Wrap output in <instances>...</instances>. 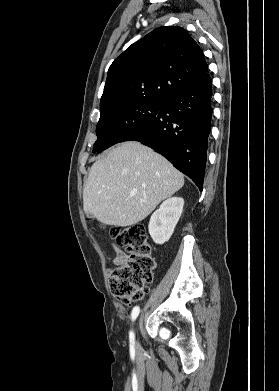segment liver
I'll return each instance as SVG.
<instances>
[{
	"label": "liver",
	"mask_w": 279,
	"mask_h": 391,
	"mask_svg": "<svg viewBox=\"0 0 279 391\" xmlns=\"http://www.w3.org/2000/svg\"><path fill=\"white\" fill-rule=\"evenodd\" d=\"M183 185V175L166 158L139 142L127 141L92 165L83 189V208L101 223L131 226Z\"/></svg>",
	"instance_id": "6515ba94"
}]
</instances>
